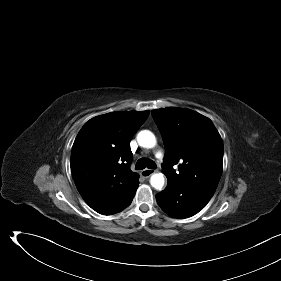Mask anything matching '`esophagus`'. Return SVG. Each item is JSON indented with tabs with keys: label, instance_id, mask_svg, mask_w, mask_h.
<instances>
[{
	"label": "esophagus",
	"instance_id": "obj_1",
	"mask_svg": "<svg viewBox=\"0 0 281 281\" xmlns=\"http://www.w3.org/2000/svg\"><path fill=\"white\" fill-rule=\"evenodd\" d=\"M155 172H156V170H154V169L146 168V169L141 171V175L143 177L147 178V177L151 176L152 174H154Z\"/></svg>",
	"mask_w": 281,
	"mask_h": 281
}]
</instances>
